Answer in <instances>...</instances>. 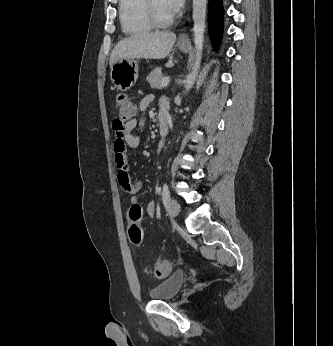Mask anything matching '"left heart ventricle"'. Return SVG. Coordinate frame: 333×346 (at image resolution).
Returning <instances> with one entry per match:
<instances>
[{"mask_svg":"<svg viewBox=\"0 0 333 346\" xmlns=\"http://www.w3.org/2000/svg\"><path fill=\"white\" fill-rule=\"evenodd\" d=\"M153 1H154L155 8L161 17L171 16V14L165 9L163 0H153Z\"/></svg>","mask_w":333,"mask_h":346,"instance_id":"obj_1","label":"left heart ventricle"}]
</instances>
